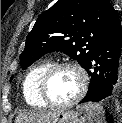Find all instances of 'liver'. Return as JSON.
I'll use <instances>...</instances> for the list:
<instances>
[{"instance_id":"liver-1","label":"liver","mask_w":122,"mask_h":123,"mask_svg":"<svg viewBox=\"0 0 122 123\" xmlns=\"http://www.w3.org/2000/svg\"><path fill=\"white\" fill-rule=\"evenodd\" d=\"M53 116L51 111H29L18 115L15 123H48Z\"/></svg>"}]
</instances>
